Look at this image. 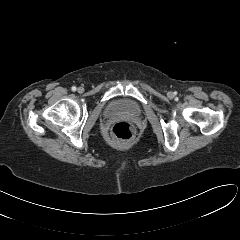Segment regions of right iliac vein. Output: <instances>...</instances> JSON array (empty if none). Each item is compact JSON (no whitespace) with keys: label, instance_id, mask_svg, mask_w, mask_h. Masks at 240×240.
<instances>
[{"label":"right iliac vein","instance_id":"obj_1","mask_svg":"<svg viewBox=\"0 0 240 240\" xmlns=\"http://www.w3.org/2000/svg\"><path fill=\"white\" fill-rule=\"evenodd\" d=\"M77 91H78L79 93H83L84 88H83V87H79V88L77 89Z\"/></svg>","mask_w":240,"mask_h":240}]
</instances>
